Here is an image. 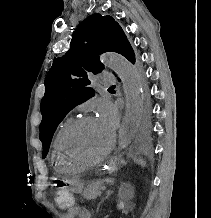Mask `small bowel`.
Instances as JSON below:
<instances>
[{"instance_id":"obj_1","label":"small bowel","mask_w":211,"mask_h":218,"mask_svg":"<svg viewBox=\"0 0 211 218\" xmlns=\"http://www.w3.org/2000/svg\"><path fill=\"white\" fill-rule=\"evenodd\" d=\"M70 213L71 214H77L79 218H91L90 213L87 210H85V209H83L81 207L72 208L70 210Z\"/></svg>"}]
</instances>
